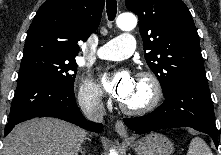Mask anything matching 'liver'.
Masks as SVG:
<instances>
[{
  "label": "liver",
  "instance_id": "obj_1",
  "mask_svg": "<svg viewBox=\"0 0 221 155\" xmlns=\"http://www.w3.org/2000/svg\"><path fill=\"white\" fill-rule=\"evenodd\" d=\"M86 132L55 118H36L14 127L3 155H78Z\"/></svg>",
  "mask_w": 221,
  "mask_h": 155
}]
</instances>
